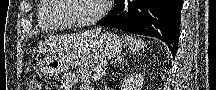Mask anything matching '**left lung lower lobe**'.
Returning a JSON list of instances; mask_svg holds the SVG:
<instances>
[{
    "instance_id": "left-lung-lower-lobe-1",
    "label": "left lung lower lobe",
    "mask_w": 216,
    "mask_h": 90,
    "mask_svg": "<svg viewBox=\"0 0 216 90\" xmlns=\"http://www.w3.org/2000/svg\"><path fill=\"white\" fill-rule=\"evenodd\" d=\"M116 4L97 25L157 37L176 55L182 0H116Z\"/></svg>"
}]
</instances>
